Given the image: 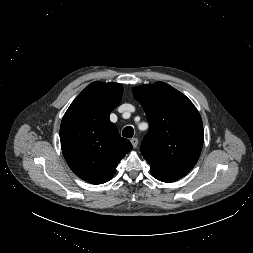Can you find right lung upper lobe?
Returning <instances> with one entry per match:
<instances>
[{
    "label": "right lung upper lobe",
    "instance_id": "right-lung-upper-lobe-1",
    "mask_svg": "<svg viewBox=\"0 0 253 253\" xmlns=\"http://www.w3.org/2000/svg\"><path fill=\"white\" fill-rule=\"evenodd\" d=\"M122 92L121 84L93 82L75 98L62 119L64 158L77 176L91 184L109 181L120 160L132 149L109 119Z\"/></svg>",
    "mask_w": 253,
    "mask_h": 253
}]
</instances>
